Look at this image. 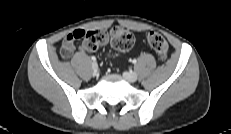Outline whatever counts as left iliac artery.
<instances>
[{"mask_svg":"<svg viewBox=\"0 0 231 134\" xmlns=\"http://www.w3.org/2000/svg\"><path fill=\"white\" fill-rule=\"evenodd\" d=\"M134 64H136V62H137V60L136 59H133V61H132Z\"/></svg>","mask_w":231,"mask_h":134,"instance_id":"44dca946","label":"left iliac artery"}]
</instances>
